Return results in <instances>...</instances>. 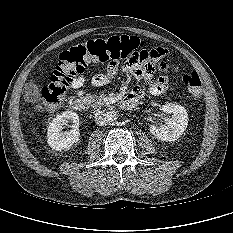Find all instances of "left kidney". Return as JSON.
<instances>
[{"label": "left kidney", "instance_id": "1", "mask_svg": "<svg viewBox=\"0 0 233 233\" xmlns=\"http://www.w3.org/2000/svg\"><path fill=\"white\" fill-rule=\"evenodd\" d=\"M161 109L166 113L172 114V116L164 118L163 125L157 126L152 124L150 126V132L159 140L175 141L187 128V111L183 106L175 103H166Z\"/></svg>", "mask_w": 233, "mask_h": 233}]
</instances>
